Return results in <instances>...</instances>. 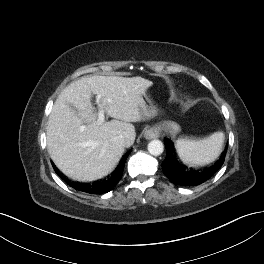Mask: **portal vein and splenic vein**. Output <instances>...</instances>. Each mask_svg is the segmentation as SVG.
<instances>
[{"mask_svg": "<svg viewBox=\"0 0 264 264\" xmlns=\"http://www.w3.org/2000/svg\"><path fill=\"white\" fill-rule=\"evenodd\" d=\"M100 98H101V95H98V96L96 97V103H97L98 106H99L98 122L101 124V123L104 122L105 116H104V110H103V108L101 107V105L99 104ZM82 128H84V126H82Z\"/></svg>", "mask_w": 264, "mask_h": 264, "instance_id": "portal-vein-and-splenic-vein-1", "label": "portal vein and splenic vein"}]
</instances>
